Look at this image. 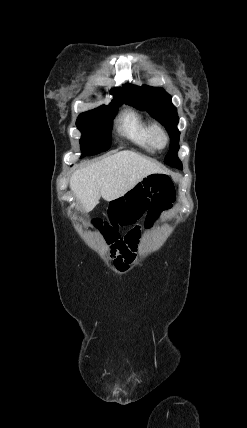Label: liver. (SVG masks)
<instances>
[{"label": "liver", "mask_w": 247, "mask_h": 428, "mask_svg": "<svg viewBox=\"0 0 247 428\" xmlns=\"http://www.w3.org/2000/svg\"><path fill=\"white\" fill-rule=\"evenodd\" d=\"M165 173L158 164L133 151L124 150L76 170L70 187L85 210H92L102 198L113 201L133 189L151 174Z\"/></svg>", "instance_id": "liver-1"}]
</instances>
